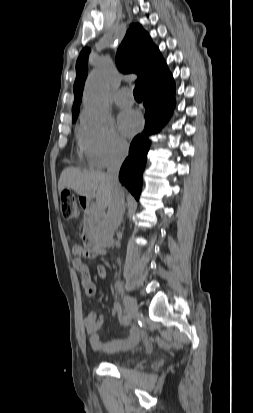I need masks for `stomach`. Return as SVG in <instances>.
Here are the masks:
<instances>
[{
	"label": "stomach",
	"instance_id": "obj_1",
	"mask_svg": "<svg viewBox=\"0 0 253 413\" xmlns=\"http://www.w3.org/2000/svg\"><path fill=\"white\" fill-rule=\"evenodd\" d=\"M82 201L85 205H88L89 204V201H90V199H88L87 197H85V196H80V198H79V201Z\"/></svg>",
	"mask_w": 253,
	"mask_h": 413
}]
</instances>
